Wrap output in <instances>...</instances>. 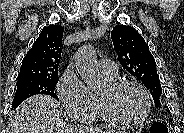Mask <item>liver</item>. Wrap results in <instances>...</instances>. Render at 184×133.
Masks as SVG:
<instances>
[{"label":"liver","instance_id":"1","mask_svg":"<svg viewBox=\"0 0 184 133\" xmlns=\"http://www.w3.org/2000/svg\"><path fill=\"white\" fill-rule=\"evenodd\" d=\"M59 103L50 96L35 95L10 115L8 133H101L98 129L71 127L63 122Z\"/></svg>","mask_w":184,"mask_h":133}]
</instances>
